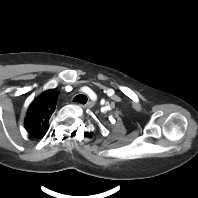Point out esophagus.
Wrapping results in <instances>:
<instances>
[{"label":"esophagus","mask_w":198,"mask_h":198,"mask_svg":"<svg viewBox=\"0 0 198 198\" xmlns=\"http://www.w3.org/2000/svg\"><path fill=\"white\" fill-rule=\"evenodd\" d=\"M83 108H91V107H93L94 106V103L93 102H91V101H89V102H87L86 104H80Z\"/></svg>","instance_id":"esophagus-1"}]
</instances>
